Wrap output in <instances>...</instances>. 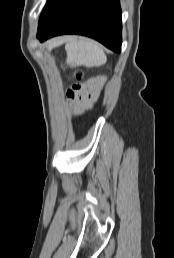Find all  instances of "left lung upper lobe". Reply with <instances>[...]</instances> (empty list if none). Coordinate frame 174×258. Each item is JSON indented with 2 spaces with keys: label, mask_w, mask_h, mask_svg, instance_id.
<instances>
[{
  "label": "left lung upper lobe",
  "mask_w": 174,
  "mask_h": 258,
  "mask_svg": "<svg viewBox=\"0 0 174 258\" xmlns=\"http://www.w3.org/2000/svg\"><path fill=\"white\" fill-rule=\"evenodd\" d=\"M58 0H47V3L41 13L40 19H39V25L43 22V20L45 19V17L48 15V13L50 12V10L52 9V7L55 5V3Z\"/></svg>",
  "instance_id": "obj_1"
}]
</instances>
